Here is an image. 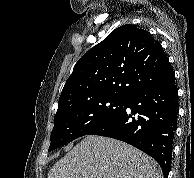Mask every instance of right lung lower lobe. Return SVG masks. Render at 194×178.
<instances>
[{
    "instance_id": "1",
    "label": "right lung lower lobe",
    "mask_w": 194,
    "mask_h": 178,
    "mask_svg": "<svg viewBox=\"0 0 194 178\" xmlns=\"http://www.w3.org/2000/svg\"><path fill=\"white\" fill-rule=\"evenodd\" d=\"M177 96L173 75L134 92L118 112L88 134L119 139L142 150L160 164L167 178L179 111Z\"/></svg>"
}]
</instances>
